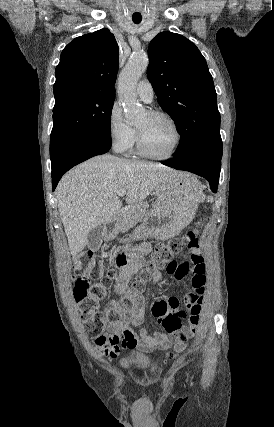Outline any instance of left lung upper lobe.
<instances>
[{
	"label": "left lung upper lobe",
	"mask_w": 274,
	"mask_h": 427,
	"mask_svg": "<svg viewBox=\"0 0 274 427\" xmlns=\"http://www.w3.org/2000/svg\"><path fill=\"white\" fill-rule=\"evenodd\" d=\"M148 79L158 102L175 121L180 144L174 155L221 140L220 113L205 58L190 40L164 31L149 44Z\"/></svg>",
	"instance_id": "left-lung-upper-lobe-1"
}]
</instances>
